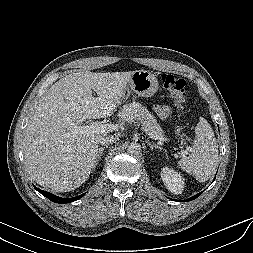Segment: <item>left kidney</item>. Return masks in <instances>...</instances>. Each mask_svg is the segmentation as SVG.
Wrapping results in <instances>:
<instances>
[{
	"instance_id": "obj_1",
	"label": "left kidney",
	"mask_w": 253,
	"mask_h": 253,
	"mask_svg": "<svg viewBox=\"0 0 253 253\" xmlns=\"http://www.w3.org/2000/svg\"><path fill=\"white\" fill-rule=\"evenodd\" d=\"M161 178L166 188L174 194H181L184 188L182 176L171 168L164 167L161 171Z\"/></svg>"
}]
</instances>
